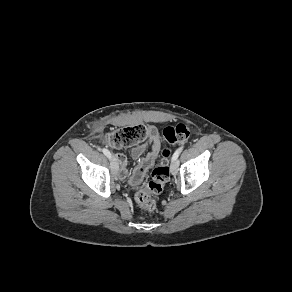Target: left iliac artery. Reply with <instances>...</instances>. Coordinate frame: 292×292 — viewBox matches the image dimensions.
I'll return each instance as SVG.
<instances>
[{
    "mask_svg": "<svg viewBox=\"0 0 292 292\" xmlns=\"http://www.w3.org/2000/svg\"><path fill=\"white\" fill-rule=\"evenodd\" d=\"M183 149H184V146L179 147V148L174 152V154H173V156H172V160H177L178 157H179V155H180V153L183 151Z\"/></svg>",
    "mask_w": 292,
    "mask_h": 292,
    "instance_id": "left-iliac-artery-1",
    "label": "left iliac artery"
}]
</instances>
